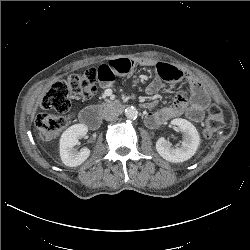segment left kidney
I'll list each match as a JSON object with an SVG mask.
<instances>
[{"label":"left kidney","mask_w":250,"mask_h":250,"mask_svg":"<svg viewBox=\"0 0 250 250\" xmlns=\"http://www.w3.org/2000/svg\"><path fill=\"white\" fill-rule=\"evenodd\" d=\"M172 125L177 126L183 133V140L179 147H173L164 137L156 142V150L159 155L166 161L180 163L190 159L199 147L200 136L195 126L181 118L171 121Z\"/></svg>","instance_id":"obj_1"}]
</instances>
